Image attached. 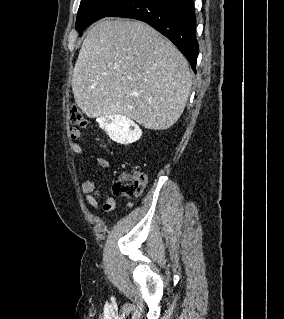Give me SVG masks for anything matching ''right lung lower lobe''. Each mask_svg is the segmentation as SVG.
<instances>
[{"instance_id": "right-lung-lower-lobe-1", "label": "right lung lower lobe", "mask_w": 284, "mask_h": 319, "mask_svg": "<svg viewBox=\"0 0 284 319\" xmlns=\"http://www.w3.org/2000/svg\"><path fill=\"white\" fill-rule=\"evenodd\" d=\"M109 17L133 18L148 23L176 45L196 72L199 46L193 0H130Z\"/></svg>"}]
</instances>
